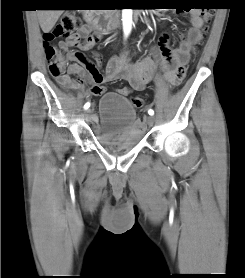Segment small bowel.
Here are the masks:
<instances>
[{"label": "small bowel", "instance_id": "small-bowel-1", "mask_svg": "<svg viewBox=\"0 0 245 278\" xmlns=\"http://www.w3.org/2000/svg\"><path fill=\"white\" fill-rule=\"evenodd\" d=\"M192 27L186 36H180V44L176 49L170 47V36L164 34L157 45L151 47V56L142 61L131 64L126 54L114 56L107 66L106 75L99 72L100 62L95 64L89 58L69 65L64 77L69 81L65 84L57 79L58 83L68 90H78L86 84H92L90 93L100 96L105 93L102 85L104 81L125 80L136 91H142L147 84L156 79V71H163L164 79L172 84L175 80L184 77L189 69L191 53L202 40V16L200 11L190 13ZM104 33L94 32L89 25L82 26L76 33L69 35L60 44L69 45L83 52L90 51L102 38ZM77 76V78H73Z\"/></svg>", "mask_w": 245, "mask_h": 278}]
</instances>
